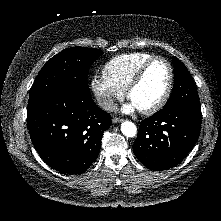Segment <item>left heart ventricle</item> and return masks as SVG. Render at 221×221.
Instances as JSON below:
<instances>
[{
    "mask_svg": "<svg viewBox=\"0 0 221 221\" xmlns=\"http://www.w3.org/2000/svg\"><path fill=\"white\" fill-rule=\"evenodd\" d=\"M168 81V69L164 62L155 61L147 69L139 85L132 91L130 100L143 109L155 104L162 96Z\"/></svg>",
    "mask_w": 221,
    "mask_h": 221,
    "instance_id": "1",
    "label": "left heart ventricle"
}]
</instances>
